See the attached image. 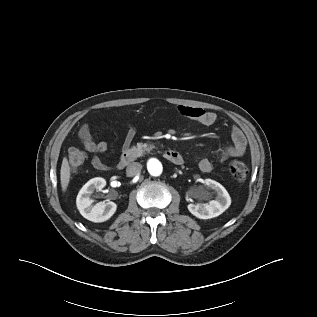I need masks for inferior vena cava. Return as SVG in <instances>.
I'll use <instances>...</instances> for the list:
<instances>
[{"label":"inferior vena cava","instance_id":"1","mask_svg":"<svg viewBox=\"0 0 317 317\" xmlns=\"http://www.w3.org/2000/svg\"><path fill=\"white\" fill-rule=\"evenodd\" d=\"M142 170V165L138 162H133L129 164L126 168V175L132 177L140 173Z\"/></svg>","mask_w":317,"mask_h":317}]
</instances>
